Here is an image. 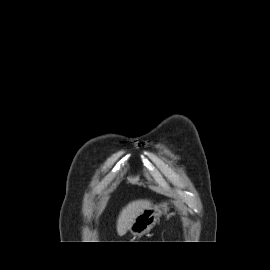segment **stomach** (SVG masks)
Segmentation results:
<instances>
[{
    "instance_id": "stomach-1",
    "label": "stomach",
    "mask_w": 270,
    "mask_h": 270,
    "mask_svg": "<svg viewBox=\"0 0 270 270\" xmlns=\"http://www.w3.org/2000/svg\"><path fill=\"white\" fill-rule=\"evenodd\" d=\"M168 210L167 203L153 205L145 209L134 220L129 232L134 236H142L149 232L159 220L160 216Z\"/></svg>"
}]
</instances>
